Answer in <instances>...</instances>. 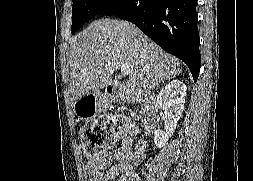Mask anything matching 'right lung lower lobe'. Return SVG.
<instances>
[{
    "mask_svg": "<svg viewBox=\"0 0 253 181\" xmlns=\"http://www.w3.org/2000/svg\"><path fill=\"white\" fill-rule=\"evenodd\" d=\"M197 0H130L112 16L131 21L166 52L189 67L196 82L201 58Z\"/></svg>",
    "mask_w": 253,
    "mask_h": 181,
    "instance_id": "1",
    "label": "right lung lower lobe"
}]
</instances>
